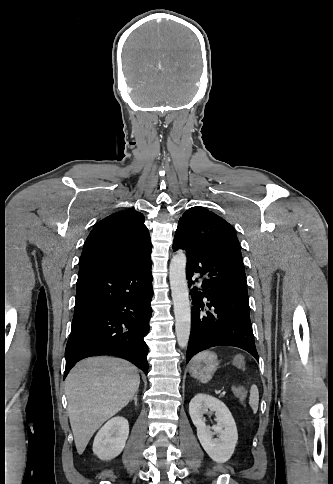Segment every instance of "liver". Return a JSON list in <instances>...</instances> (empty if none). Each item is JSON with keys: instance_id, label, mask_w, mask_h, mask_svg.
Listing matches in <instances>:
<instances>
[{"instance_id": "liver-1", "label": "liver", "mask_w": 333, "mask_h": 484, "mask_svg": "<svg viewBox=\"0 0 333 484\" xmlns=\"http://www.w3.org/2000/svg\"><path fill=\"white\" fill-rule=\"evenodd\" d=\"M135 366L112 357L85 359L66 378L68 415L78 454L96 430L125 407L138 391Z\"/></svg>"}]
</instances>
